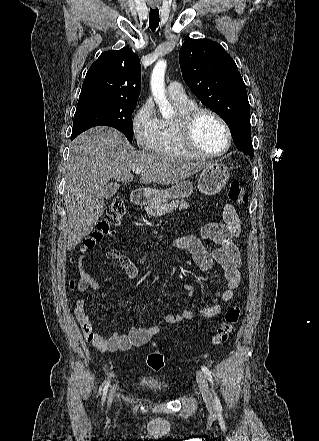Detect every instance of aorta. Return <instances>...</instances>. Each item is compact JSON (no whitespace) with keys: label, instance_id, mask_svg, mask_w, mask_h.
<instances>
[{"label":"aorta","instance_id":"aorta-1","mask_svg":"<svg viewBox=\"0 0 319 441\" xmlns=\"http://www.w3.org/2000/svg\"><path fill=\"white\" fill-rule=\"evenodd\" d=\"M166 61L159 60L154 66L151 74V91L152 95L159 106L162 117L169 118L173 115V107L165 96V72Z\"/></svg>","mask_w":319,"mask_h":441}]
</instances>
